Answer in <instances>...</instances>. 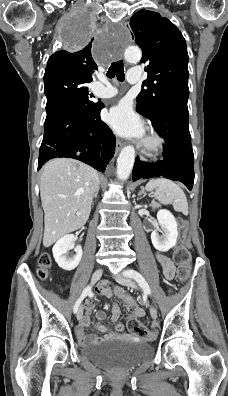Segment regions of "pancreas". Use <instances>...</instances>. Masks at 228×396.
Listing matches in <instances>:
<instances>
[{
    "mask_svg": "<svg viewBox=\"0 0 228 396\" xmlns=\"http://www.w3.org/2000/svg\"><path fill=\"white\" fill-rule=\"evenodd\" d=\"M154 207H159V205L158 204H154Z\"/></svg>",
    "mask_w": 228,
    "mask_h": 396,
    "instance_id": "pancreas-1",
    "label": "pancreas"
}]
</instances>
